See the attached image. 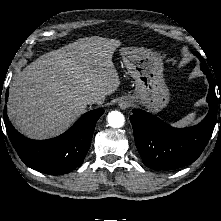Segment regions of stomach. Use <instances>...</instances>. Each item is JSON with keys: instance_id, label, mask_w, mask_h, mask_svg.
<instances>
[{"instance_id": "0dacf381", "label": "stomach", "mask_w": 221, "mask_h": 221, "mask_svg": "<svg viewBox=\"0 0 221 221\" xmlns=\"http://www.w3.org/2000/svg\"><path fill=\"white\" fill-rule=\"evenodd\" d=\"M121 55L128 74L135 80V90L129 98L151 112H159L169 102L161 57L153 51L135 47L123 48Z\"/></svg>"}]
</instances>
